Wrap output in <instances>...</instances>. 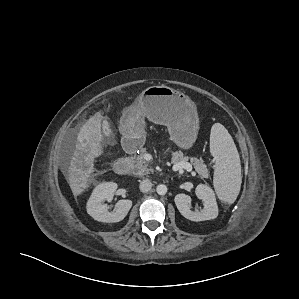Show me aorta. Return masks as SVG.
<instances>
[{
	"label": "aorta",
	"mask_w": 299,
	"mask_h": 299,
	"mask_svg": "<svg viewBox=\"0 0 299 299\" xmlns=\"http://www.w3.org/2000/svg\"><path fill=\"white\" fill-rule=\"evenodd\" d=\"M156 192L159 195H165L167 193V186L164 184H160L156 187Z\"/></svg>",
	"instance_id": "1"
}]
</instances>
